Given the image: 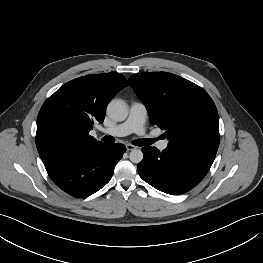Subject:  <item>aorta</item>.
Wrapping results in <instances>:
<instances>
[{"label": "aorta", "mask_w": 263, "mask_h": 263, "mask_svg": "<svg viewBox=\"0 0 263 263\" xmlns=\"http://www.w3.org/2000/svg\"><path fill=\"white\" fill-rule=\"evenodd\" d=\"M107 114L114 121H124L128 116L126 103L119 99L112 100L107 106ZM129 159L133 163H140L143 159V152L139 149H133L129 154Z\"/></svg>", "instance_id": "762f6f07"}]
</instances>
